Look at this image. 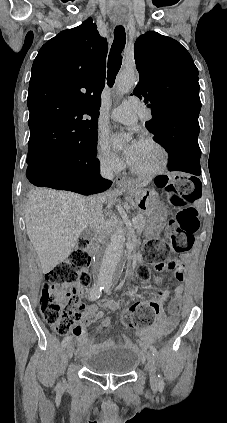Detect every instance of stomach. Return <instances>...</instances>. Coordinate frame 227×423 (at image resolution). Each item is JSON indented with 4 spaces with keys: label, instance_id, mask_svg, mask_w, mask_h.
Masks as SVG:
<instances>
[{
    "label": "stomach",
    "instance_id": "0dacf381",
    "mask_svg": "<svg viewBox=\"0 0 227 423\" xmlns=\"http://www.w3.org/2000/svg\"><path fill=\"white\" fill-rule=\"evenodd\" d=\"M120 190L123 192H128L133 198H135L136 208L140 213H147V211L152 210L154 202H156L158 196L154 190L150 188H142L139 184H134L130 182L127 186H122Z\"/></svg>",
    "mask_w": 227,
    "mask_h": 423
}]
</instances>
